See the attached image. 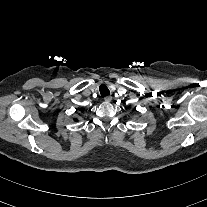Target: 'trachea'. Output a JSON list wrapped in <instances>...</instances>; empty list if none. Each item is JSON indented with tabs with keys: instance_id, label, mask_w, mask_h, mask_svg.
<instances>
[{
	"instance_id": "trachea-1",
	"label": "trachea",
	"mask_w": 207,
	"mask_h": 207,
	"mask_svg": "<svg viewBox=\"0 0 207 207\" xmlns=\"http://www.w3.org/2000/svg\"><path fill=\"white\" fill-rule=\"evenodd\" d=\"M99 91H100L101 96L110 95L109 89L103 84L99 87Z\"/></svg>"
}]
</instances>
